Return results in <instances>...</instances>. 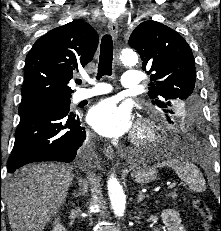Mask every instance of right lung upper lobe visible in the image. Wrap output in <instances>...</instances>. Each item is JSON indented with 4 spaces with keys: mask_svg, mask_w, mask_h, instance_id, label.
<instances>
[{
    "mask_svg": "<svg viewBox=\"0 0 221 231\" xmlns=\"http://www.w3.org/2000/svg\"><path fill=\"white\" fill-rule=\"evenodd\" d=\"M97 45L98 34L82 20L55 28L39 38L26 57L22 100L70 98V79L92 60Z\"/></svg>",
    "mask_w": 221,
    "mask_h": 231,
    "instance_id": "right-lung-upper-lobe-1",
    "label": "right lung upper lobe"
}]
</instances>
